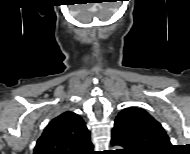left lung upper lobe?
<instances>
[{
	"label": "left lung upper lobe",
	"instance_id": "left-lung-upper-lobe-1",
	"mask_svg": "<svg viewBox=\"0 0 190 154\" xmlns=\"http://www.w3.org/2000/svg\"><path fill=\"white\" fill-rule=\"evenodd\" d=\"M114 128H119L143 153H154L171 147L162 125L141 108L122 110L116 117Z\"/></svg>",
	"mask_w": 190,
	"mask_h": 154
}]
</instances>
